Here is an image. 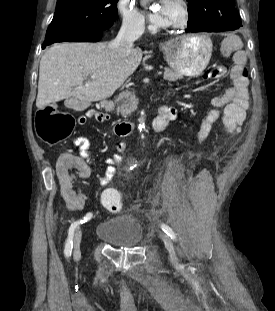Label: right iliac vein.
<instances>
[{
	"label": "right iliac vein",
	"instance_id": "1",
	"mask_svg": "<svg viewBox=\"0 0 275 311\" xmlns=\"http://www.w3.org/2000/svg\"><path fill=\"white\" fill-rule=\"evenodd\" d=\"M82 239V229L79 228L74 236V258L77 259L80 257V243Z\"/></svg>",
	"mask_w": 275,
	"mask_h": 311
}]
</instances>
